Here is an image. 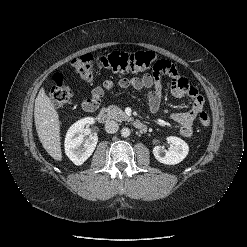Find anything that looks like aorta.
I'll return each instance as SVG.
<instances>
[{
    "mask_svg": "<svg viewBox=\"0 0 247 247\" xmlns=\"http://www.w3.org/2000/svg\"><path fill=\"white\" fill-rule=\"evenodd\" d=\"M130 133H131V131H130V129L129 128H123L122 130H121V135L123 136V137H128V136H130Z\"/></svg>",
    "mask_w": 247,
    "mask_h": 247,
    "instance_id": "aorta-1",
    "label": "aorta"
}]
</instances>
